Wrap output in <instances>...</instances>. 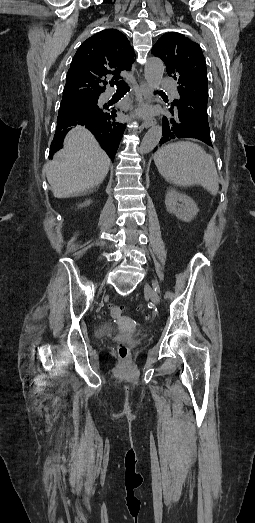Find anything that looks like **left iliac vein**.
Returning <instances> with one entry per match:
<instances>
[{
  "mask_svg": "<svg viewBox=\"0 0 255 523\" xmlns=\"http://www.w3.org/2000/svg\"><path fill=\"white\" fill-rule=\"evenodd\" d=\"M153 286L160 288L157 281H153ZM145 292L147 293V295L150 297V299L155 304H159L160 303V296H159V294L157 293V291L152 289L148 284L145 285Z\"/></svg>",
  "mask_w": 255,
  "mask_h": 523,
  "instance_id": "4c4485c4",
  "label": "left iliac vein"
}]
</instances>
